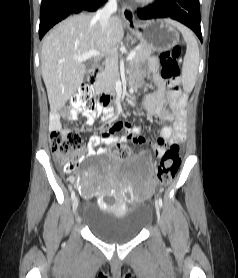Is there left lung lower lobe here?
Here are the masks:
<instances>
[{"label": "left lung lower lobe", "mask_w": 238, "mask_h": 278, "mask_svg": "<svg viewBox=\"0 0 238 278\" xmlns=\"http://www.w3.org/2000/svg\"><path fill=\"white\" fill-rule=\"evenodd\" d=\"M137 16L143 20L172 18L191 28L202 42L199 0H156L147 8L139 9Z\"/></svg>", "instance_id": "obj_1"}]
</instances>
